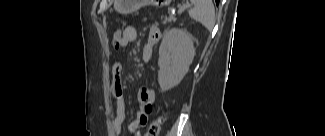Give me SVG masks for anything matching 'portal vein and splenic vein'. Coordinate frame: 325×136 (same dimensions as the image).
<instances>
[{
    "label": "portal vein and splenic vein",
    "mask_w": 325,
    "mask_h": 136,
    "mask_svg": "<svg viewBox=\"0 0 325 136\" xmlns=\"http://www.w3.org/2000/svg\"><path fill=\"white\" fill-rule=\"evenodd\" d=\"M190 5L189 4H183L180 8H179V13H182L185 9H187Z\"/></svg>",
    "instance_id": "portal-vein-and-splenic-vein-1"
}]
</instances>
